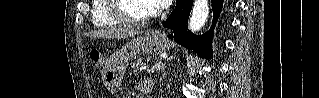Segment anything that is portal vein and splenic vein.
Segmentation results:
<instances>
[{"label": "portal vein and splenic vein", "instance_id": "portal-vein-and-splenic-vein-1", "mask_svg": "<svg viewBox=\"0 0 319 98\" xmlns=\"http://www.w3.org/2000/svg\"><path fill=\"white\" fill-rule=\"evenodd\" d=\"M163 68H164V64L158 63V64H155L154 66H152V68L147 69V72L154 73V72L162 70ZM143 69H146V67H144Z\"/></svg>", "mask_w": 319, "mask_h": 98}]
</instances>
